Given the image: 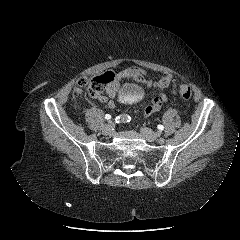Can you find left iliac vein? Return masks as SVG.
I'll use <instances>...</instances> for the list:
<instances>
[{
	"label": "left iliac vein",
	"mask_w": 240,
	"mask_h": 240,
	"mask_svg": "<svg viewBox=\"0 0 240 240\" xmlns=\"http://www.w3.org/2000/svg\"><path fill=\"white\" fill-rule=\"evenodd\" d=\"M140 133L144 137V139H146L149 142H154L155 140L158 139L157 134L149 128L142 127L140 129Z\"/></svg>",
	"instance_id": "left-iliac-vein-1"
}]
</instances>
